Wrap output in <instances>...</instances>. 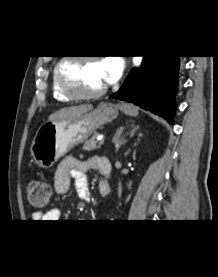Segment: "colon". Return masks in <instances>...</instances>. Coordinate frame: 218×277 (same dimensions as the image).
<instances>
[{"label": "colon", "mask_w": 218, "mask_h": 277, "mask_svg": "<svg viewBox=\"0 0 218 277\" xmlns=\"http://www.w3.org/2000/svg\"><path fill=\"white\" fill-rule=\"evenodd\" d=\"M26 191L29 204L35 208L47 206L52 194L50 185L41 180L30 181Z\"/></svg>", "instance_id": "5ec220e1"}]
</instances>
